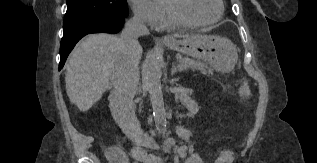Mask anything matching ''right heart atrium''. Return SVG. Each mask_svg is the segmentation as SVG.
Here are the masks:
<instances>
[{"label":"right heart atrium","instance_id":"obj_1","mask_svg":"<svg viewBox=\"0 0 317 163\" xmlns=\"http://www.w3.org/2000/svg\"><path fill=\"white\" fill-rule=\"evenodd\" d=\"M128 2L138 20L149 26L158 24L162 13L159 0H128Z\"/></svg>","mask_w":317,"mask_h":163}]
</instances>
